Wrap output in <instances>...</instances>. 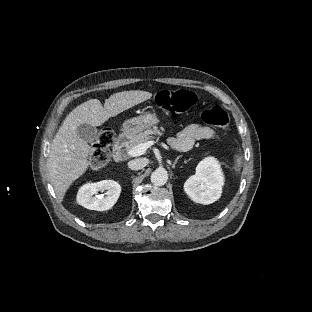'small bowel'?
Instances as JSON below:
<instances>
[{"instance_id": "1", "label": "small bowel", "mask_w": 312, "mask_h": 312, "mask_svg": "<svg viewBox=\"0 0 312 312\" xmlns=\"http://www.w3.org/2000/svg\"><path fill=\"white\" fill-rule=\"evenodd\" d=\"M215 131L203 124L195 123L185 127L170 139V144L179 151H188L196 142L212 139Z\"/></svg>"}]
</instances>
